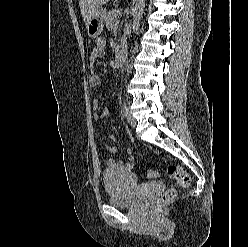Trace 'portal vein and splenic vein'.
<instances>
[{
	"label": "portal vein and splenic vein",
	"instance_id": "obj_1",
	"mask_svg": "<svg viewBox=\"0 0 248 247\" xmlns=\"http://www.w3.org/2000/svg\"><path fill=\"white\" fill-rule=\"evenodd\" d=\"M117 13H118V14L120 13V10H119V9L117 10Z\"/></svg>",
	"mask_w": 248,
	"mask_h": 247
}]
</instances>
